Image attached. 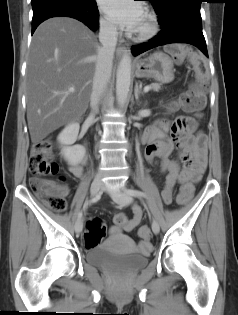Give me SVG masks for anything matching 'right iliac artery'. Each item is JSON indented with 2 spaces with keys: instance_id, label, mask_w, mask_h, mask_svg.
<instances>
[{
  "instance_id": "82829eb1",
  "label": "right iliac artery",
  "mask_w": 238,
  "mask_h": 315,
  "mask_svg": "<svg viewBox=\"0 0 238 315\" xmlns=\"http://www.w3.org/2000/svg\"><path fill=\"white\" fill-rule=\"evenodd\" d=\"M100 199V195H96L95 197H93L91 200H89L88 202H86L83 206V210H85L88 206V204H91V203H95L97 202L98 200ZM82 210L78 213V220H80L82 218Z\"/></svg>"
}]
</instances>
